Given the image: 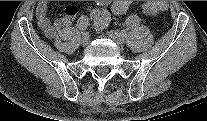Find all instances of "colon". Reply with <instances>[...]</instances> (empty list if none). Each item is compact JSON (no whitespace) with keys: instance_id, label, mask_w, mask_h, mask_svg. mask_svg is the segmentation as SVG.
Masks as SVG:
<instances>
[{"instance_id":"1","label":"colon","mask_w":207,"mask_h":121,"mask_svg":"<svg viewBox=\"0 0 207 121\" xmlns=\"http://www.w3.org/2000/svg\"><path fill=\"white\" fill-rule=\"evenodd\" d=\"M126 4L119 6L120 9H124ZM167 7L163 1H147L143 4V11L148 15H156L159 12L165 10ZM114 15V7L112 6H101L92 11L91 17L95 26L99 29L107 26Z\"/></svg>"}]
</instances>
